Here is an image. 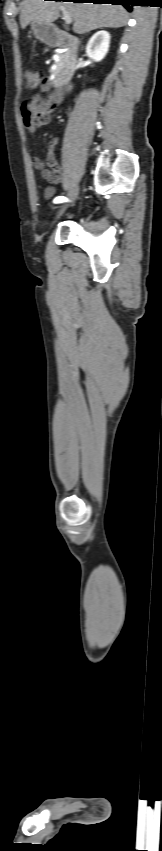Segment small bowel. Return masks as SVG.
I'll return each mask as SVG.
<instances>
[{"label": "small bowel", "instance_id": "obj_1", "mask_svg": "<svg viewBox=\"0 0 162 851\" xmlns=\"http://www.w3.org/2000/svg\"><path fill=\"white\" fill-rule=\"evenodd\" d=\"M59 80L56 76H51L48 83L47 81L41 87L39 93H37L30 102L23 104L21 107V113L23 117V122L26 129L34 133L35 130L39 127L47 125L50 122L51 114L58 108L62 99L67 97V93H71L73 89L77 87V82L75 80H70L68 84L59 85ZM58 86V88H57ZM55 92L50 94V89ZM42 94L49 95L47 99L42 97ZM58 143V138L54 137L49 142V147L54 148ZM46 163L49 166V169L45 168L44 161L39 157L32 158V165L34 168L41 171V174L45 180L51 183H56L61 178V169L60 166L53 155V153H48L46 158Z\"/></svg>", "mask_w": 162, "mask_h": 851}]
</instances>
